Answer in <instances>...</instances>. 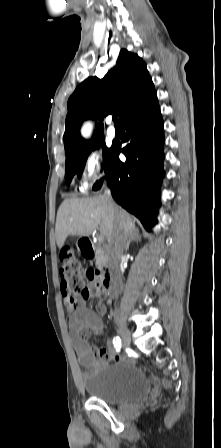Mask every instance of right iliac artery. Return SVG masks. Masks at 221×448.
<instances>
[{"label": "right iliac artery", "mask_w": 221, "mask_h": 448, "mask_svg": "<svg viewBox=\"0 0 221 448\" xmlns=\"http://www.w3.org/2000/svg\"><path fill=\"white\" fill-rule=\"evenodd\" d=\"M114 347L117 351H120L121 348V339L119 337H116V339L113 340Z\"/></svg>", "instance_id": "obj_1"}]
</instances>
